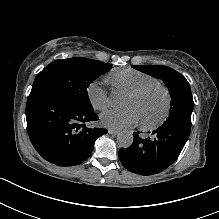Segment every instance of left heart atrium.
<instances>
[{"label":"left heart atrium","instance_id":"left-heart-atrium-1","mask_svg":"<svg viewBox=\"0 0 219 219\" xmlns=\"http://www.w3.org/2000/svg\"><path fill=\"white\" fill-rule=\"evenodd\" d=\"M100 119L104 127L111 129H121L140 122L137 111L132 107L107 110L101 114Z\"/></svg>","mask_w":219,"mask_h":219}]
</instances>
